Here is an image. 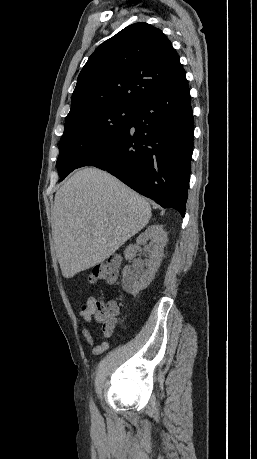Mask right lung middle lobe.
I'll list each match as a JSON object with an SVG mask.
<instances>
[{"mask_svg": "<svg viewBox=\"0 0 257 459\" xmlns=\"http://www.w3.org/2000/svg\"><path fill=\"white\" fill-rule=\"evenodd\" d=\"M135 110L136 107H109L65 125L57 160L59 181L118 138L130 124Z\"/></svg>", "mask_w": 257, "mask_h": 459, "instance_id": "dd1d6c3e", "label": "right lung middle lobe"}]
</instances>
